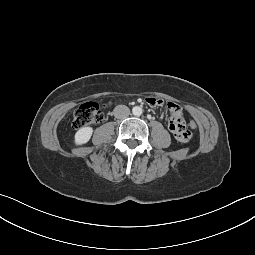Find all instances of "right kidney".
I'll return each instance as SVG.
<instances>
[{
    "label": "right kidney",
    "mask_w": 255,
    "mask_h": 255,
    "mask_svg": "<svg viewBox=\"0 0 255 255\" xmlns=\"http://www.w3.org/2000/svg\"><path fill=\"white\" fill-rule=\"evenodd\" d=\"M93 133L92 127H82L76 133L74 137V142L76 145H82L87 143Z\"/></svg>",
    "instance_id": "right-kidney-1"
}]
</instances>
